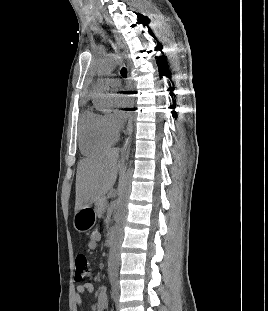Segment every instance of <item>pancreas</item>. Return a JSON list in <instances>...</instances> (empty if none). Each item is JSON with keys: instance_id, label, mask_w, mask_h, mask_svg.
<instances>
[{"instance_id": "cf45deb5", "label": "pancreas", "mask_w": 268, "mask_h": 311, "mask_svg": "<svg viewBox=\"0 0 268 311\" xmlns=\"http://www.w3.org/2000/svg\"><path fill=\"white\" fill-rule=\"evenodd\" d=\"M106 205H107V200L105 197H102V198H99L98 200H96L95 211L99 217H101L103 215Z\"/></svg>"}]
</instances>
